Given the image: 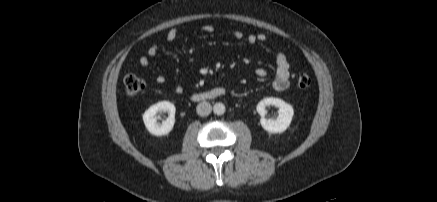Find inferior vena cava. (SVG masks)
Returning a JSON list of instances; mask_svg holds the SVG:
<instances>
[{"instance_id":"1","label":"inferior vena cava","mask_w":437,"mask_h":202,"mask_svg":"<svg viewBox=\"0 0 437 202\" xmlns=\"http://www.w3.org/2000/svg\"><path fill=\"white\" fill-rule=\"evenodd\" d=\"M212 111V106L209 102L202 101L196 107V112L200 116H208Z\"/></svg>"}]
</instances>
